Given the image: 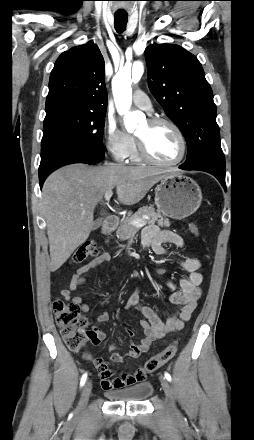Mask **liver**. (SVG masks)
Returning a JSON list of instances; mask_svg holds the SVG:
<instances>
[{"mask_svg": "<svg viewBox=\"0 0 254 440\" xmlns=\"http://www.w3.org/2000/svg\"><path fill=\"white\" fill-rule=\"evenodd\" d=\"M168 172L108 163L72 164L48 176L42 188V210L50 247V269L56 271L84 243L94 226V208L116 187L118 200L133 205Z\"/></svg>", "mask_w": 254, "mask_h": 440, "instance_id": "6515ba94", "label": "liver"}]
</instances>
